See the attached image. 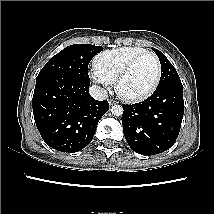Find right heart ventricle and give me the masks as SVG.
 <instances>
[{"label":"right heart ventricle","mask_w":214,"mask_h":214,"mask_svg":"<svg viewBox=\"0 0 214 214\" xmlns=\"http://www.w3.org/2000/svg\"><path fill=\"white\" fill-rule=\"evenodd\" d=\"M145 51L141 47L128 46L102 52L94 59V69L111 83H115L125 65Z\"/></svg>","instance_id":"right-heart-ventricle-1"}]
</instances>
